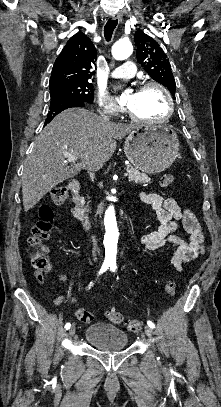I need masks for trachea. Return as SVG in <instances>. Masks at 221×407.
Returning <instances> with one entry per match:
<instances>
[{"label":"trachea","instance_id":"obj_1","mask_svg":"<svg viewBox=\"0 0 221 407\" xmlns=\"http://www.w3.org/2000/svg\"><path fill=\"white\" fill-rule=\"evenodd\" d=\"M118 24V20H111L109 19L108 22L106 23L105 27H104V36L106 41H110L113 31L116 28Z\"/></svg>","mask_w":221,"mask_h":407}]
</instances>
